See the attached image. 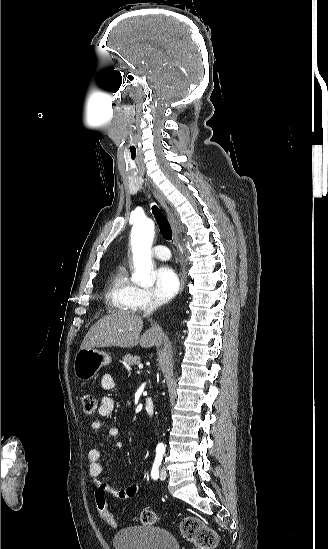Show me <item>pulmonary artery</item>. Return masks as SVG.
<instances>
[{"mask_svg": "<svg viewBox=\"0 0 328 549\" xmlns=\"http://www.w3.org/2000/svg\"><path fill=\"white\" fill-rule=\"evenodd\" d=\"M152 255L160 260H165L169 258V248L167 246H154L152 248Z\"/></svg>", "mask_w": 328, "mask_h": 549, "instance_id": "e3ab8cb5", "label": "pulmonary artery"}]
</instances>
